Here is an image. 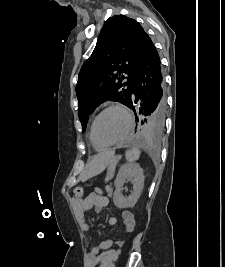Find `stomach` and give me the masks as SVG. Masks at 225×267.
<instances>
[{
    "instance_id": "stomach-1",
    "label": "stomach",
    "mask_w": 225,
    "mask_h": 267,
    "mask_svg": "<svg viewBox=\"0 0 225 267\" xmlns=\"http://www.w3.org/2000/svg\"><path fill=\"white\" fill-rule=\"evenodd\" d=\"M113 159L112 153H102L96 156L89 164V176H95L101 173Z\"/></svg>"
}]
</instances>
